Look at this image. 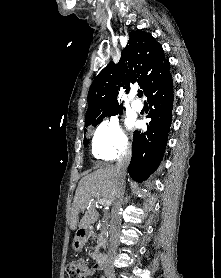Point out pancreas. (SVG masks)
I'll use <instances>...</instances> for the list:
<instances>
[{"instance_id":"1","label":"pancreas","mask_w":221,"mask_h":278,"mask_svg":"<svg viewBox=\"0 0 221 278\" xmlns=\"http://www.w3.org/2000/svg\"><path fill=\"white\" fill-rule=\"evenodd\" d=\"M107 234H109V229H106L105 226L102 227L101 233L97 238V246L95 248V253H98V250L101 246H105L107 242Z\"/></svg>"}]
</instances>
